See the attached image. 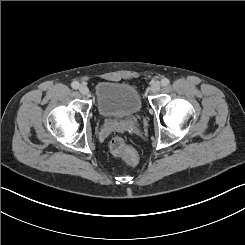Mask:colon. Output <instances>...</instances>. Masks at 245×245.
<instances>
[{
    "label": "colon",
    "instance_id": "5ec220e1",
    "mask_svg": "<svg viewBox=\"0 0 245 245\" xmlns=\"http://www.w3.org/2000/svg\"><path fill=\"white\" fill-rule=\"evenodd\" d=\"M110 150L115 155L127 158L129 163L131 164L134 163L136 160L133 149L130 146H128L124 138L120 136H116L111 140Z\"/></svg>",
    "mask_w": 245,
    "mask_h": 245
}]
</instances>
